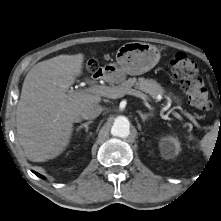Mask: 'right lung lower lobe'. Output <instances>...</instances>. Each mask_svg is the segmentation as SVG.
I'll list each match as a JSON object with an SVG mask.
<instances>
[{"label": "right lung lower lobe", "instance_id": "1", "mask_svg": "<svg viewBox=\"0 0 221 221\" xmlns=\"http://www.w3.org/2000/svg\"><path fill=\"white\" fill-rule=\"evenodd\" d=\"M33 172H34V171H33ZM34 174L37 175V176H39V177H41V178H43V176L40 175V174H38L37 172H34Z\"/></svg>", "mask_w": 221, "mask_h": 221}]
</instances>
